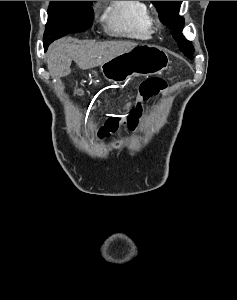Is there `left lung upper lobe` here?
Listing matches in <instances>:
<instances>
[{"mask_svg":"<svg viewBox=\"0 0 237 300\" xmlns=\"http://www.w3.org/2000/svg\"><path fill=\"white\" fill-rule=\"evenodd\" d=\"M160 13L161 21L173 30V38L178 42L181 51L190 59L193 58L192 43L182 35L184 18L179 16L182 1H151Z\"/></svg>","mask_w":237,"mask_h":300,"instance_id":"5c2ea615","label":"left lung upper lobe"}]
</instances>
